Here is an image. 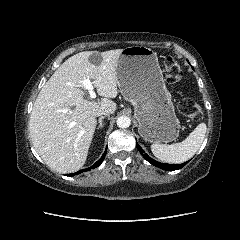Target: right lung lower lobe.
I'll return each mask as SVG.
<instances>
[{"label": "right lung lower lobe", "mask_w": 240, "mask_h": 240, "mask_svg": "<svg viewBox=\"0 0 240 240\" xmlns=\"http://www.w3.org/2000/svg\"><path fill=\"white\" fill-rule=\"evenodd\" d=\"M106 152L107 151H105L104 154L102 155V157L94 165H92L90 168L80 170L76 173L70 174V176H73L74 174H79L80 172H84V171H87L89 169H93V168H96V167L100 166L101 163L103 162V159L105 158Z\"/></svg>", "instance_id": "98d812e1"}]
</instances>
